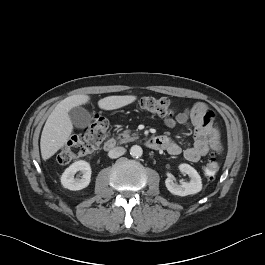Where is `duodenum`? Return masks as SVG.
I'll return each instance as SVG.
<instances>
[{
    "instance_id": "1",
    "label": "duodenum",
    "mask_w": 265,
    "mask_h": 265,
    "mask_svg": "<svg viewBox=\"0 0 265 265\" xmlns=\"http://www.w3.org/2000/svg\"><path fill=\"white\" fill-rule=\"evenodd\" d=\"M148 147L152 149H163L164 141L160 136L152 137L147 141ZM116 141L114 139H109L104 144L105 151H111L115 148Z\"/></svg>"
}]
</instances>
